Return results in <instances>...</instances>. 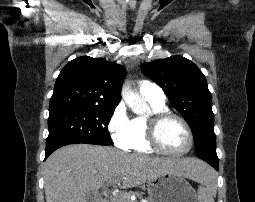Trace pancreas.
Returning <instances> with one entry per match:
<instances>
[{"mask_svg":"<svg viewBox=\"0 0 255 202\" xmlns=\"http://www.w3.org/2000/svg\"><path fill=\"white\" fill-rule=\"evenodd\" d=\"M138 194V192H128L116 195L114 198L111 199L110 202H131L130 196L132 194ZM149 202V201H146Z\"/></svg>","mask_w":255,"mask_h":202,"instance_id":"cf45deb5","label":"pancreas"}]
</instances>
